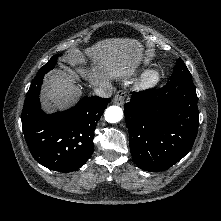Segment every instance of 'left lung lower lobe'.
<instances>
[{"instance_id":"obj_1","label":"left lung lower lobe","mask_w":221,"mask_h":221,"mask_svg":"<svg viewBox=\"0 0 221 221\" xmlns=\"http://www.w3.org/2000/svg\"><path fill=\"white\" fill-rule=\"evenodd\" d=\"M136 165L163 171L181 160L195 141L199 112L192 77H177L160 89L133 92L124 107Z\"/></svg>"}]
</instances>
